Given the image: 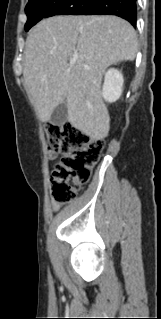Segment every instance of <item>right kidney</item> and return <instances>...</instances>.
<instances>
[{
  "mask_svg": "<svg viewBox=\"0 0 161 319\" xmlns=\"http://www.w3.org/2000/svg\"><path fill=\"white\" fill-rule=\"evenodd\" d=\"M123 75L116 69H109L105 73L102 96L108 102H115L122 95Z\"/></svg>",
  "mask_w": 161,
  "mask_h": 319,
  "instance_id": "1",
  "label": "right kidney"
}]
</instances>
